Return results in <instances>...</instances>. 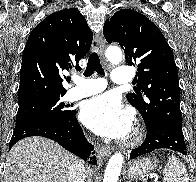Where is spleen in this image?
I'll list each match as a JSON object with an SVG mask.
<instances>
[{"instance_id": "obj_1", "label": "spleen", "mask_w": 196, "mask_h": 182, "mask_svg": "<svg viewBox=\"0 0 196 182\" xmlns=\"http://www.w3.org/2000/svg\"><path fill=\"white\" fill-rule=\"evenodd\" d=\"M164 182H189L185 165L175 156H169L164 169Z\"/></svg>"}]
</instances>
